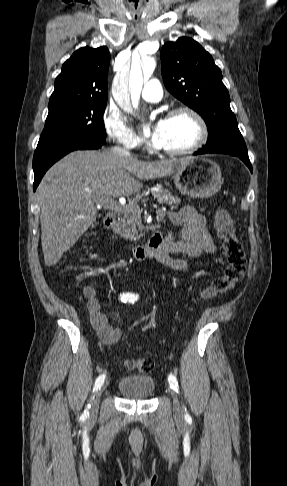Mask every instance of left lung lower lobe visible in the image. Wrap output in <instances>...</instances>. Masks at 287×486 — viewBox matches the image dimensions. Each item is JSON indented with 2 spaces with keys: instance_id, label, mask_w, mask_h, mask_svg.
<instances>
[{
  "instance_id": "obj_1",
  "label": "left lung lower lobe",
  "mask_w": 287,
  "mask_h": 486,
  "mask_svg": "<svg viewBox=\"0 0 287 486\" xmlns=\"http://www.w3.org/2000/svg\"><path fill=\"white\" fill-rule=\"evenodd\" d=\"M202 154H206V152H204L202 150H198L194 153V155H202ZM233 156L239 157L248 166V168L252 172V166H251L248 155H233Z\"/></svg>"
}]
</instances>
